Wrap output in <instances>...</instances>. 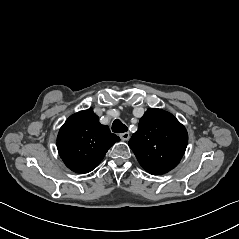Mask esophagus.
<instances>
[{
    "instance_id": "1",
    "label": "esophagus",
    "mask_w": 239,
    "mask_h": 239,
    "mask_svg": "<svg viewBox=\"0 0 239 239\" xmlns=\"http://www.w3.org/2000/svg\"><path fill=\"white\" fill-rule=\"evenodd\" d=\"M119 137L124 141L128 140L130 138V133L129 132L121 133V134H119Z\"/></svg>"
}]
</instances>
